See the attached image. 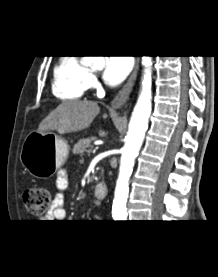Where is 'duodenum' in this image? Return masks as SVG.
<instances>
[{"instance_id": "1", "label": "duodenum", "mask_w": 218, "mask_h": 277, "mask_svg": "<svg viewBox=\"0 0 218 277\" xmlns=\"http://www.w3.org/2000/svg\"><path fill=\"white\" fill-rule=\"evenodd\" d=\"M108 187L104 182H98L94 187V194L98 200H102L107 196Z\"/></svg>"}]
</instances>
